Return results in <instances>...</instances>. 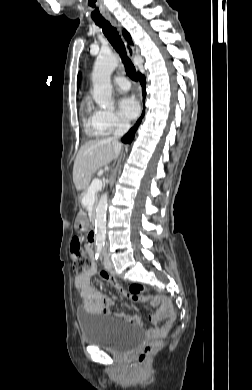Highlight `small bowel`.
I'll use <instances>...</instances> for the list:
<instances>
[{"mask_svg":"<svg viewBox=\"0 0 252 390\" xmlns=\"http://www.w3.org/2000/svg\"><path fill=\"white\" fill-rule=\"evenodd\" d=\"M96 268L92 265L86 271L79 273L75 276L74 285L80 293V301L82 307L90 313L94 314H106L110 315V307L113 305V300L104 295L96 288L90 286V278L95 274ZM103 277L112 285H115L116 290L123 296L129 297L132 300H149L155 306L156 311L150 316V320L154 325H158L164 321L161 326H156L149 329L151 337H157L164 335L171 328L175 319L171 301L166 297L150 296L144 293L137 295H128L124 290H120L116 280L106 274ZM120 319L128 323L139 324L141 322L140 317L137 315H128L124 312H118L116 314Z\"/></svg>","mask_w":252,"mask_h":390,"instance_id":"small-bowel-1","label":"small bowel"}]
</instances>
